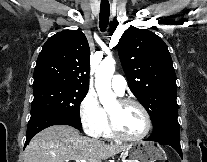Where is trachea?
Segmentation results:
<instances>
[{
  "label": "trachea",
  "instance_id": "trachea-1",
  "mask_svg": "<svg viewBox=\"0 0 207 162\" xmlns=\"http://www.w3.org/2000/svg\"><path fill=\"white\" fill-rule=\"evenodd\" d=\"M110 15V5L107 0H102L100 4L99 27L102 32L106 31Z\"/></svg>",
  "mask_w": 207,
  "mask_h": 162
}]
</instances>
